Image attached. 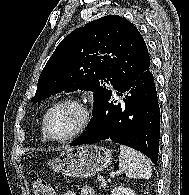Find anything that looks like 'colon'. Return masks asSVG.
<instances>
[{
  "label": "colon",
  "instance_id": "1",
  "mask_svg": "<svg viewBox=\"0 0 189 195\" xmlns=\"http://www.w3.org/2000/svg\"><path fill=\"white\" fill-rule=\"evenodd\" d=\"M34 195H55L53 189L44 181L36 180L33 184Z\"/></svg>",
  "mask_w": 189,
  "mask_h": 195
}]
</instances>
